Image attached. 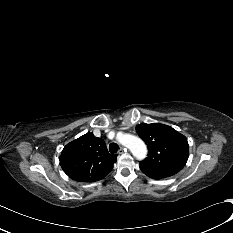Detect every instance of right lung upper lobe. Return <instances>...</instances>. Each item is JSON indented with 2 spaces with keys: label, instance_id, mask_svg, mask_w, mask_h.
<instances>
[{
  "label": "right lung upper lobe",
  "instance_id": "cb5924a9",
  "mask_svg": "<svg viewBox=\"0 0 233 233\" xmlns=\"http://www.w3.org/2000/svg\"><path fill=\"white\" fill-rule=\"evenodd\" d=\"M117 161L109 154L104 141L86 133L67 144L60 156L63 171L73 180L95 182L104 178Z\"/></svg>",
  "mask_w": 233,
  "mask_h": 233
}]
</instances>
